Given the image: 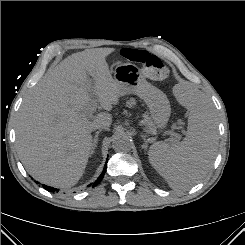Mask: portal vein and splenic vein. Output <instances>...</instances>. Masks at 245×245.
Returning a JSON list of instances; mask_svg holds the SVG:
<instances>
[{
	"instance_id": "18ae733b",
	"label": "portal vein and splenic vein",
	"mask_w": 245,
	"mask_h": 245,
	"mask_svg": "<svg viewBox=\"0 0 245 245\" xmlns=\"http://www.w3.org/2000/svg\"><path fill=\"white\" fill-rule=\"evenodd\" d=\"M97 105H98L97 99H93V100H92V103H91V108H90V109H91L92 111L96 110ZM172 135H173L174 137H177V134H176V133H172ZM170 141H171V142H175L176 139H175V138H171Z\"/></svg>"
}]
</instances>
